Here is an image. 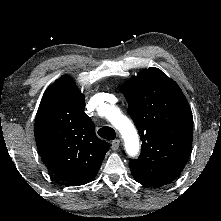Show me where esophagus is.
Segmentation results:
<instances>
[{
    "instance_id": "1",
    "label": "esophagus",
    "mask_w": 221,
    "mask_h": 221,
    "mask_svg": "<svg viewBox=\"0 0 221 221\" xmlns=\"http://www.w3.org/2000/svg\"><path fill=\"white\" fill-rule=\"evenodd\" d=\"M120 145V140L116 139L114 141H112L111 143V148L113 151H117Z\"/></svg>"
}]
</instances>
